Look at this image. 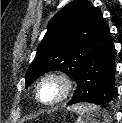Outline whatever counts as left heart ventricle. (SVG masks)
I'll return each mask as SVG.
<instances>
[{"instance_id": "b2bd125f", "label": "left heart ventricle", "mask_w": 122, "mask_h": 123, "mask_svg": "<svg viewBox=\"0 0 122 123\" xmlns=\"http://www.w3.org/2000/svg\"><path fill=\"white\" fill-rule=\"evenodd\" d=\"M62 92V85L59 81L49 79L40 88V97L43 101L49 102L56 99Z\"/></svg>"}]
</instances>
